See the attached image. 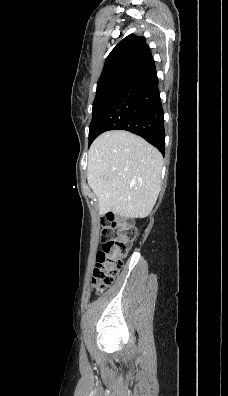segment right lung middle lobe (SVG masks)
Listing matches in <instances>:
<instances>
[{"label":"right lung middle lobe","mask_w":228,"mask_h":396,"mask_svg":"<svg viewBox=\"0 0 228 396\" xmlns=\"http://www.w3.org/2000/svg\"><path fill=\"white\" fill-rule=\"evenodd\" d=\"M126 84L113 83L101 86L96 90V97L93 102L92 121L89 126V141L95 135V125L109 104L126 87Z\"/></svg>","instance_id":"1"}]
</instances>
